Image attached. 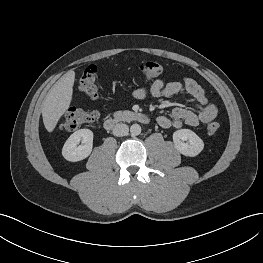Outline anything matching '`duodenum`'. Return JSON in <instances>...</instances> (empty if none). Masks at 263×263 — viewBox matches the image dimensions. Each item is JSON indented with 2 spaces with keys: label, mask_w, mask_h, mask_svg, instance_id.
Masks as SVG:
<instances>
[{
  "label": "duodenum",
  "mask_w": 263,
  "mask_h": 263,
  "mask_svg": "<svg viewBox=\"0 0 263 263\" xmlns=\"http://www.w3.org/2000/svg\"><path fill=\"white\" fill-rule=\"evenodd\" d=\"M129 119L135 122L147 124L149 122V117L142 112H132L128 115ZM123 117H109L104 120L103 127L106 130L114 128L117 124L122 121Z\"/></svg>",
  "instance_id": "duodenum-1"
}]
</instances>
